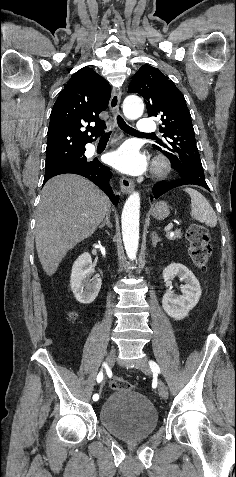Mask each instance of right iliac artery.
<instances>
[{"label":"right iliac artery","instance_id":"obj_1","mask_svg":"<svg viewBox=\"0 0 236 477\" xmlns=\"http://www.w3.org/2000/svg\"><path fill=\"white\" fill-rule=\"evenodd\" d=\"M103 366H104L105 368H107V364L104 363ZM102 379H103V372H102V370H101V371L99 372V374L97 375V382L100 383V382L102 381ZM92 401H93L94 403H97V402L99 401V395H98V394H94V395H93V398H92Z\"/></svg>","mask_w":236,"mask_h":477}]
</instances>
